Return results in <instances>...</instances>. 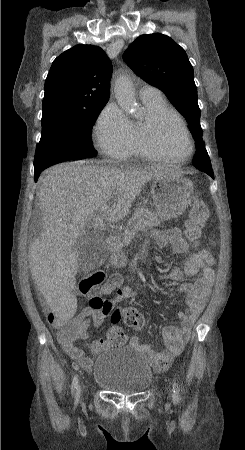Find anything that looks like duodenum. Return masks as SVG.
I'll return each instance as SVG.
<instances>
[{
  "mask_svg": "<svg viewBox=\"0 0 245 450\" xmlns=\"http://www.w3.org/2000/svg\"><path fill=\"white\" fill-rule=\"evenodd\" d=\"M107 244L111 252H116L120 249L122 242L117 237H108Z\"/></svg>",
  "mask_w": 245,
  "mask_h": 450,
  "instance_id": "410a0bca",
  "label": "duodenum"
}]
</instances>
